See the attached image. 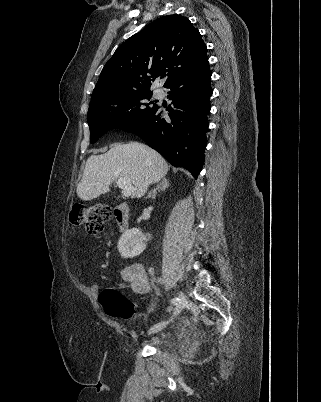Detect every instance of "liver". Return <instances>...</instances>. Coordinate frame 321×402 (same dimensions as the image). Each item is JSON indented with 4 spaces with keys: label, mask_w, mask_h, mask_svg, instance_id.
<instances>
[{
    "label": "liver",
    "mask_w": 321,
    "mask_h": 402,
    "mask_svg": "<svg viewBox=\"0 0 321 402\" xmlns=\"http://www.w3.org/2000/svg\"><path fill=\"white\" fill-rule=\"evenodd\" d=\"M168 164L155 150L139 142L113 145L101 155H91L77 186V195L88 201L109 191L117 179L125 178L134 187L132 198H141L152 183L168 172Z\"/></svg>",
    "instance_id": "6515ba94"
}]
</instances>
